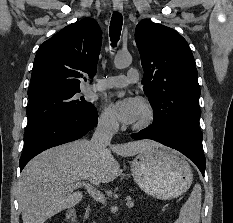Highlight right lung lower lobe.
<instances>
[{"label":"right lung lower lobe","instance_id":"obj_1","mask_svg":"<svg viewBox=\"0 0 233 223\" xmlns=\"http://www.w3.org/2000/svg\"><path fill=\"white\" fill-rule=\"evenodd\" d=\"M94 106L44 125L24 137V150L20 157V171L40 152L85 135L98 123Z\"/></svg>","mask_w":233,"mask_h":223}]
</instances>
